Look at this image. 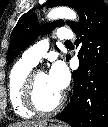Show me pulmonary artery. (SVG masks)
Instances as JSON below:
<instances>
[{
  "instance_id": "obj_1",
  "label": "pulmonary artery",
  "mask_w": 108,
  "mask_h": 127,
  "mask_svg": "<svg viewBox=\"0 0 108 127\" xmlns=\"http://www.w3.org/2000/svg\"><path fill=\"white\" fill-rule=\"evenodd\" d=\"M57 37L60 40L68 41L73 37V34L69 29L61 28L57 32ZM48 48V39H43L27 49L22 55V60L35 66L38 64L42 56L47 52Z\"/></svg>"
}]
</instances>
